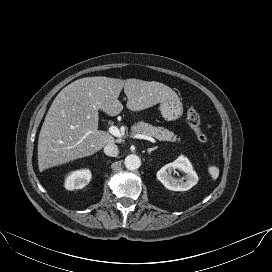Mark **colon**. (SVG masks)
<instances>
[{"label": "colon", "instance_id": "1", "mask_svg": "<svg viewBox=\"0 0 272 272\" xmlns=\"http://www.w3.org/2000/svg\"><path fill=\"white\" fill-rule=\"evenodd\" d=\"M187 122L190 128L193 130L198 141L206 143L208 141V135L202 129L201 117L196 108L191 107L187 112Z\"/></svg>", "mask_w": 272, "mask_h": 272}]
</instances>
